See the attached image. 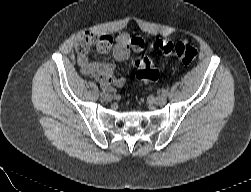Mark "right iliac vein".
<instances>
[{"label": "right iliac vein", "instance_id": "right-iliac-vein-1", "mask_svg": "<svg viewBox=\"0 0 251 192\" xmlns=\"http://www.w3.org/2000/svg\"><path fill=\"white\" fill-rule=\"evenodd\" d=\"M103 98H104V100H106V101H111V100L113 99L112 95L109 94V93L105 94Z\"/></svg>", "mask_w": 251, "mask_h": 192}]
</instances>
